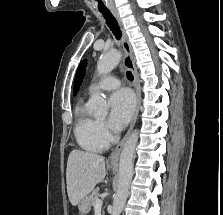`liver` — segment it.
Returning a JSON list of instances; mask_svg holds the SVG:
<instances>
[{"instance_id": "6515ba94", "label": "liver", "mask_w": 223, "mask_h": 215, "mask_svg": "<svg viewBox=\"0 0 223 215\" xmlns=\"http://www.w3.org/2000/svg\"><path fill=\"white\" fill-rule=\"evenodd\" d=\"M106 167L103 155L73 149L69 153L66 169L67 193L72 205L91 193L96 183L103 181Z\"/></svg>"}]
</instances>
